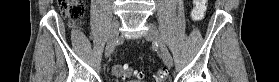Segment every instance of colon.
Segmentation results:
<instances>
[{"label":"colon","mask_w":279,"mask_h":82,"mask_svg":"<svg viewBox=\"0 0 279 82\" xmlns=\"http://www.w3.org/2000/svg\"><path fill=\"white\" fill-rule=\"evenodd\" d=\"M59 7L63 16L69 19L72 25H76L84 16L85 7L83 1L80 0H59ZM207 0H194V8L191 11L193 20H201L207 7ZM113 74L117 78L139 80L143 73L126 65L115 64L112 67ZM168 71L165 69L157 70L155 74V82H165Z\"/></svg>","instance_id":"1"}]
</instances>
